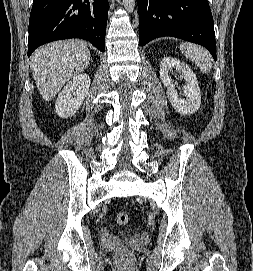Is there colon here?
<instances>
[{
    "mask_svg": "<svg viewBox=\"0 0 253 271\" xmlns=\"http://www.w3.org/2000/svg\"><path fill=\"white\" fill-rule=\"evenodd\" d=\"M116 222L119 225H125L128 222V214L125 212H119L116 215ZM117 258L120 260H129L131 258V252L129 249L123 247L117 251Z\"/></svg>",
    "mask_w": 253,
    "mask_h": 271,
    "instance_id": "5ec220e1",
    "label": "colon"
}]
</instances>
